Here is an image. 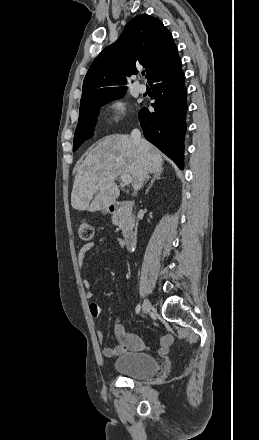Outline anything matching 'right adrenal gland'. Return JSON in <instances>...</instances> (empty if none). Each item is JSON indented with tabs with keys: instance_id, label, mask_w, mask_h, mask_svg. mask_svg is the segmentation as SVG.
<instances>
[{
	"instance_id": "1",
	"label": "right adrenal gland",
	"mask_w": 259,
	"mask_h": 440,
	"mask_svg": "<svg viewBox=\"0 0 259 440\" xmlns=\"http://www.w3.org/2000/svg\"><path fill=\"white\" fill-rule=\"evenodd\" d=\"M162 173H163V171H158V172L154 173V175H153V177H152V179H151V182H150V184H149V187L147 188L145 194H148L149 190L151 189L153 183H154L156 180H160V179H161V174H162Z\"/></svg>"
}]
</instances>
